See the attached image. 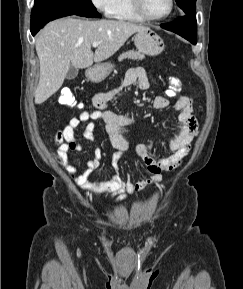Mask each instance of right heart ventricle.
Instances as JSON below:
<instances>
[{"mask_svg": "<svg viewBox=\"0 0 243 289\" xmlns=\"http://www.w3.org/2000/svg\"><path fill=\"white\" fill-rule=\"evenodd\" d=\"M109 16L121 21H144V19L134 10L131 0H114L112 9L109 12Z\"/></svg>", "mask_w": 243, "mask_h": 289, "instance_id": "e07e8e85", "label": "right heart ventricle"}]
</instances>
